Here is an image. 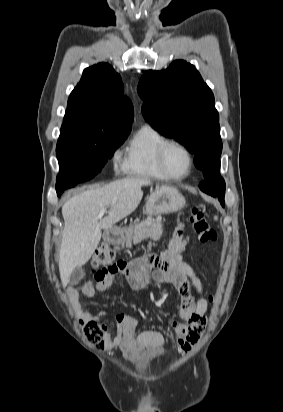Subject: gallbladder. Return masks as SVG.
Listing matches in <instances>:
<instances>
[{
  "mask_svg": "<svg viewBox=\"0 0 283 412\" xmlns=\"http://www.w3.org/2000/svg\"><path fill=\"white\" fill-rule=\"evenodd\" d=\"M85 273L82 267H78L73 270L69 278V285H76L83 277Z\"/></svg>",
  "mask_w": 283,
  "mask_h": 412,
  "instance_id": "bac80fb5",
  "label": "gallbladder"
}]
</instances>
